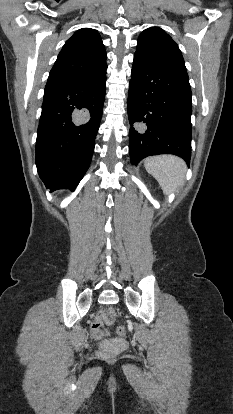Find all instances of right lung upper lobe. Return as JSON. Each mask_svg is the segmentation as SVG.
<instances>
[{
	"label": "right lung upper lobe",
	"mask_w": 233,
	"mask_h": 414,
	"mask_svg": "<svg viewBox=\"0 0 233 414\" xmlns=\"http://www.w3.org/2000/svg\"><path fill=\"white\" fill-rule=\"evenodd\" d=\"M106 59L99 33L82 28L66 41L50 74L58 77L92 74L107 66Z\"/></svg>",
	"instance_id": "obj_1"
}]
</instances>
